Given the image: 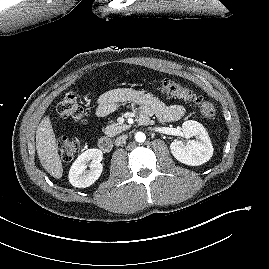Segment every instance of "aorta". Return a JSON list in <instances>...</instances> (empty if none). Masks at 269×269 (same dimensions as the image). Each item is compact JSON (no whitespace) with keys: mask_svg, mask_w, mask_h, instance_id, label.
I'll list each match as a JSON object with an SVG mask.
<instances>
[{"mask_svg":"<svg viewBox=\"0 0 269 269\" xmlns=\"http://www.w3.org/2000/svg\"><path fill=\"white\" fill-rule=\"evenodd\" d=\"M135 140L139 143H142L146 140V135L143 132H137L135 134Z\"/></svg>","mask_w":269,"mask_h":269,"instance_id":"762f6f07","label":"aorta"}]
</instances>
